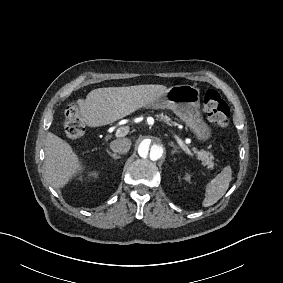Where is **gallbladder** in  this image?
I'll return each instance as SVG.
<instances>
[{
    "instance_id": "gallbladder-1",
    "label": "gallbladder",
    "mask_w": 283,
    "mask_h": 283,
    "mask_svg": "<svg viewBox=\"0 0 283 283\" xmlns=\"http://www.w3.org/2000/svg\"><path fill=\"white\" fill-rule=\"evenodd\" d=\"M60 123L58 122V123H56V126H58Z\"/></svg>"
}]
</instances>
